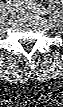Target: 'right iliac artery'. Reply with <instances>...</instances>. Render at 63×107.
I'll return each instance as SVG.
<instances>
[{"label": "right iliac artery", "mask_w": 63, "mask_h": 107, "mask_svg": "<svg viewBox=\"0 0 63 107\" xmlns=\"http://www.w3.org/2000/svg\"><path fill=\"white\" fill-rule=\"evenodd\" d=\"M7 5H8V7L12 6V1H11V0H8V1H7ZM14 6H15V5H14ZM16 6H18V5L16 4Z\"/></svg>", "instance_id": "82829eb1"}]
</instances>
